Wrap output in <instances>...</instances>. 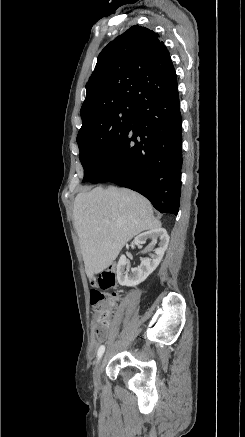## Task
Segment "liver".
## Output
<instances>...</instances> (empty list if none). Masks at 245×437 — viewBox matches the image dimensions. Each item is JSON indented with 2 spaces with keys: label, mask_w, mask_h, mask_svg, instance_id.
Instances as JSON below:
<instances>
[{
  "label": "liver",
  "mask_w": 245,
  "mask_h": 437,
  "mask_svg": "<svg viewBox=\"0 0 245 437\" xmlns=\"http://www.w3.org/2000/svg\"><path fill=\"white\" fill-rule=\"evenodd\" d=\"M73 218L89 279L111 265L134 236L161 227L146 198L116 187L77 194Z\"/></svg>",
  "instance_id": "1"
}]
</instances>
